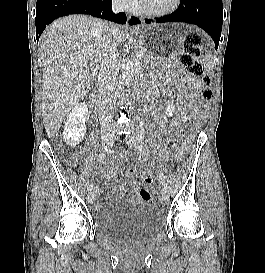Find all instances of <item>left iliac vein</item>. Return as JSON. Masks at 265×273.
<instances>
[{"label":"left iliac vein","mask_w":265,"mask_h":273,"mask_svg":"<svg viewBox=\"0 0 265 273\" xmlns=\"http://www.w3.org/2000/svg\"><path fill=\"white\" fill-rule=\"evenodd\" d=\"M128 145L134 149L138 154L144 155L145 154V149L143 146V141L138 138L135 135L130 136L129 140L127 141ZM162 199L164 202H168L170 195H169V188L167 185H163L162 191H161Z\"/></svg>","instance_id":"4c4485c4"}]
</instances>
